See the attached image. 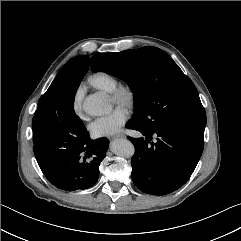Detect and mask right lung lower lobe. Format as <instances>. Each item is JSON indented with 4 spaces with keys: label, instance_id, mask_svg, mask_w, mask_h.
Listing matches in <instances>:
<instances>
[{
    "label": "right lung lower lobe",
    "instance_id": "right-lung-lower-lobe-1",
    "mask_svg": "<svg viewBox=\"0 0 241 241\" xmlns=\"http://www.w3.org/2000/svg\"><path fill=\"white\" fill-rule=\"evenodd\" d=\"M33 150L40 169L51 184L74 191L93 186L99 177V165L104 159L109 141L91 140L89 133L76 145L50 149L33 131Z\"/></svg>",
    "mask_w": 241,
    "mask_h": 241
}]
</instances>
